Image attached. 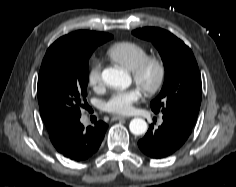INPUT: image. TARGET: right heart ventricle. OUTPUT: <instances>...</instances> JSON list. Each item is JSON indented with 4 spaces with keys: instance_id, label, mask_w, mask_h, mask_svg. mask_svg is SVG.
Returning a JSON list of instances; mask_svg holds the SVG:
<instances>
[{
    "instance_id": "1",
    "label": "right heart ventricle",
    "mask_w": 236,
    "mask_h": 187,
    "mask_svg": "<svg viewBox=\"0 0 236 187\" xmlns=\"http://www.w3.org/2000/svg\"><path fill=\"white\" fill-rule=\"evenodd\" d=\"M107 57L114 63L131 71L148 52L142 45L132 41H119L112 44L106 51Z\"/></svg>"
}]
</instances>
